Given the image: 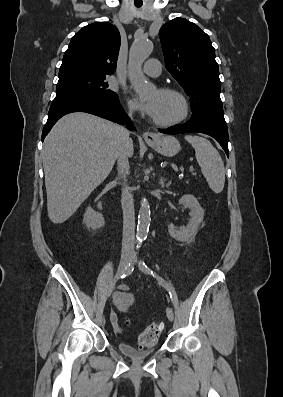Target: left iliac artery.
I'll return each mask as SVG.
<instances>
[{"mask_svg":"<svg viewBox=\"0 0 283 397\" xmlns=\"http://www.w3.org/2000/svg\"><path fill=\"white\" fill-rule=\"evenodd\" d=\"M139 268L142 272L146 273V274H150L153 277H156V279L158 280V282L167 290H169V286L167 284V282L162 279L161 277H159L158 275H156V273H154L146 264L143 260L139 261ZM171 295V294H170ZM172 298V296H171Z\"/></svg>","mask_w":283,"mask_h":397,"instance_id":"44dca946","label":"left iliac artery"}]
</instances>
